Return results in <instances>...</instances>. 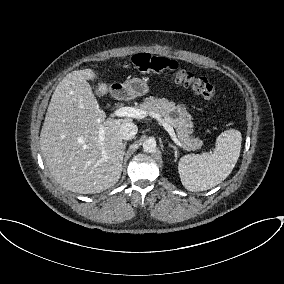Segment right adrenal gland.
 Segmentation results:
<instances>
[{
    "label": "right adrenal gland",
    "instance_id": "2a0ac1e0",
    "mask_svg": "<svg viewBox=\"0 0 284 284\" xmlns=\"http://www.w3.org/2000/svg\"><path fill=\"white\" fill-rule=\"evenodd\" d=\"M126 144H127V142L125 141L124 144H123L124 149L126 148Z\"/></svg>",
    "mask_w": 284,
    "mask_h": 284
}]
</instances>
